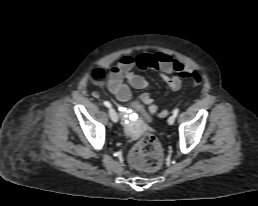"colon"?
Wrapping results in <instances>:
<instances>
[{"instance_id": "colon-1", "label": "colon", "mask_w": 258, "mask_h": 206, "mask_svg": "<svg viewBox=\"0 0 258 206\" xmlns=\"http://www.w3.org/2000/svg\"><path fill=\"white\" fill-rule=\"evenodd\" d=\"M93 78L97 81L104 79V71L96 69ZM131 165L144 171L157 170L163 161V151L160 142L152 134H145L132 147L129 154Z\"/></svg>"}]
</instances>
